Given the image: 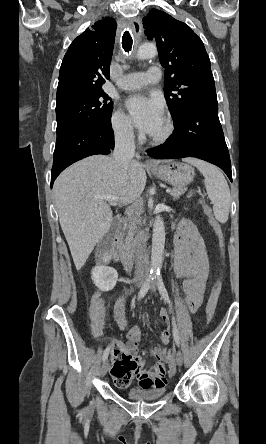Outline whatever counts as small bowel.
Returning a JSON list of instances; mask_svg holds the SVG:
<instances>
[{
	"label": "small bowel",
	"mask_w": 266,
	"mask_h": 444,
	"mask_svg": "<svg viewBox=\"0 0 266 444\" xmlns=\"http://www.w3.org/2000/svg\"><path fill=\"white\" fill-rule=\"evenodd\" d=\"M173 269L178 277L184 278L183 289L189 310L193 313L197 312L202 305L208 283L209 261L200 234L187 220H183L177 227ZM125 303L126 297L122 296L114 308L115 322L121 330L126 331L127 342L124 344L115 341L113 344L110 370L113 382L118 388L126 389L136 377L140 388L165 387L167 350L162 345L156 346L152 350V354L157 359L154 368L152 371L144 368L142 359L137 355L141 330L138 327L129 326L124 313ZM89 311L91 334L94 338L101 339L106 313L105 299L101 291L93 295ZM160 317L166 324V328L160 333V339L163 345H167L170 342L171 332L166 309H161Z\"/></svg>",
	"instance_id": "c3829d8e"
}]
</instances>
